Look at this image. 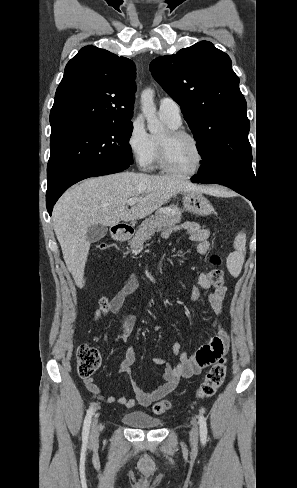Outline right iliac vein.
Listing matches in <instances>:
<instances>
[{"label":"right iliac vein","instance_id":"1","mask_svg":"<svg viewBox=\"0 0 297 488\" xmlns=\"http://www.w3.org/2000/svg\"><path fill=\"white\" fill-rule=\"evenodd\" d=\"M100 425L98 423V416H95L92 426H91V435H90V443L95 445L98 441L99 434H100Z\"/></svg>","mask_w":297,"mask_h":488}]
</instances>
